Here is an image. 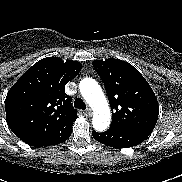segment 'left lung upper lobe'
<instances>
[{
    "instance_id": "obj_1",
    "label": "left lung upper lobe",
    "mask_w": 182,
    "mask_h": 182,
    "mask_svg": "<svg viewBox=\"0 0 182 182\" xmlns=\"http://www.w3.org/2000/svg\"><path fill=\"white\" fill-rule=\"evenodd\" d=\"M93 66L105 85L113 111L110 127L149 136L156 125L159 106L146 79L135 67L119 59L95 60Z\"/></svg>"
}]
</instances>
